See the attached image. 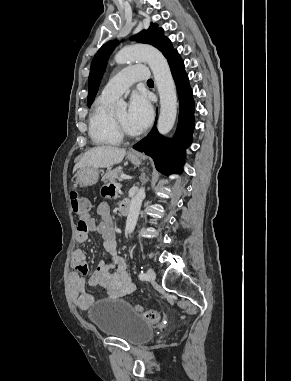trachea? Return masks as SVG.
<instances>
[{
    "instance_id": "3493384b",
    "label": "trachea",
    "mask_w": 291,
    "mask_h": 381,
    "mask_svg": "<svg viewBox=\"0 0 291 381\" xmlns=\"http://www.w3.org/2000/svg\"><path fill=\"white\" fill-rule=\"evenodd\" d=\"M147 83H148V84H154V82H153L152 79H149V80L147 81Z\"/></svg>"
}]
</instances>
